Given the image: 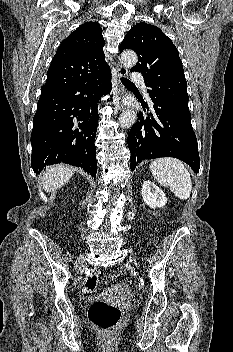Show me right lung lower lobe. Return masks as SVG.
<instances>
[{
    "mask_svg": "<svg viewBox=\"0 0 233 352\" xmlns=\"http://www.w3.org/2000/svg\"><path fill=\"white\" fill-rule=\"evenodd\" d=\"M110 68L68 89L41 94L33 118L31 165L36 174L60 162L97 172L98 103L111 90Z\"/></svg>",
    "mask_w": 233,
    "mask_h": 352,
    "instance_id": "obj_1",
    "label": "right lung lower lobe"
}]
</instances>
